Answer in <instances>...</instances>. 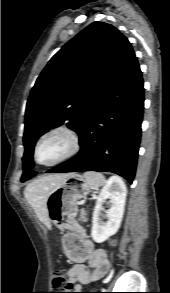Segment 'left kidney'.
I'll use <instances>...</instances> for the list:
<instances>
[{
	"instance_id": "5707ae66",
	"label": "left kidney",
	"mask_w": 170,
	"mask_h": 293,
	"mask_svg": "<svg viewBox=\"0 0 170 293\" xmlns=\"http://www.w3.org/2000/svg\"><path fill=\"white\" fill-rule=\"evenodd\" d=\"M126 195L125 183L116 176L111 177L100 191L92 218L91 237L96 243L106 241L118 231L124 214ZM104 203L109 205V209L105 211L106 222L100 219Z\"/></svg>"
}]
</instances>
